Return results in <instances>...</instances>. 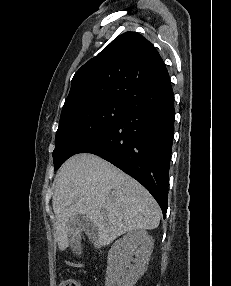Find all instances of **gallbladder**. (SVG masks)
<instances>
[{
	"instance_id": "1",
	"label": "gallbladder",
	"mask_w": 231,
	"mask_h": 286,
	"mask_svg": "<svg viewBox=\"0 0 231 286\" xmlns=\"http://www.w3.org/2000/svg\"><path fill=\"white\" fill-rule=\"evenodd\" d=\"M69 227L72 228L71 235H74L72 239H79L78 237H82L79 232L84 231V232H95L93 230H96V227L94 223L90 220L89 217H87L86 214L82 213H75L73 215V219L71 220ZM86 234H95V233H86ZM73 243L72 245H80V241H71ZM73 250H82L81 247L79 246H72Z\"/></svg>"
}]
</instances>
